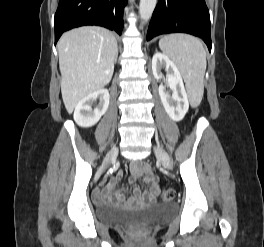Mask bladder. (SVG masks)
Here are the masks:
<instances>
[{
    "label": "bladder",
    "instance_id": "1",
    "mask_svg": "<svg viewBox=\"0 0 264 247\" xmlns=\"http://www.w3.org/2000/svg\"><path fill=\"white\" fill-rule=\"evenodd\" d=\"M172 214L171 208L163 205L145 208L105 206L97 209L99 222L122 227H141L161 223L171 218Z\"/></svg>",
    "mask_w": 264,
    "mask_h": 247
}]
</instances>
